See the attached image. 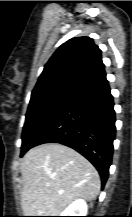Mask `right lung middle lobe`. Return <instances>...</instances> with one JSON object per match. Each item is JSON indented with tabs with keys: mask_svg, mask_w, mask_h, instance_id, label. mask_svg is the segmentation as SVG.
<instances>
[{
	"mask_svg": "<svg viewBox=\"0 0 132 217\" xmlns=\"http://www.w3.org/2000/svg\"><path fill=\"white\" fill-rule=\"evenodd\" d=\"M76 97V94L67 91L31 96L22 133L21 156L31 148L46 128Z\"/></svg>",
	"mask_w": 132,
	"mask_h": 217,
	"instance_id": "1",
	"label": "right lung middle lobe"
}]
</instances>
